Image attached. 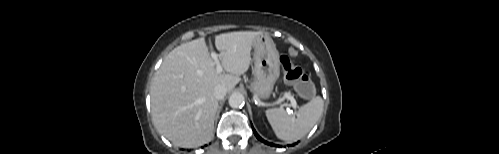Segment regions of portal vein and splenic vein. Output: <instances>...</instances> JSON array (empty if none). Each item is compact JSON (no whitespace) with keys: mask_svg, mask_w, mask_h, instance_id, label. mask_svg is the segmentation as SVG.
Returning <instances> with one entry per match:
<instances>
[{"mask_svg":"<svg viewBox=\"0 0 499 154\" xmlns=\"http://www.w3.org/2000/svg\"><path fill=\"white\" fill-rule=\"evenodd\" d=\"M218 56H219V54H217L216 52H212L211 53V57L214 60L215 65H216V71H217V73H221L223 69H222V65H221V63H220V61L218 59ZM285 97L288 98L291 101V104H285L288 112L292 111V110H290V107H293L294 109H296L297 105H296L295 99L292 96H289V95H286ZM283 100H284V98H279L276 103L279 104Z\"/></svg>","mask_w":499,"mask_h":154,"instance_id":"1","label":"portal vein and splenic vein"}]
</instances>
